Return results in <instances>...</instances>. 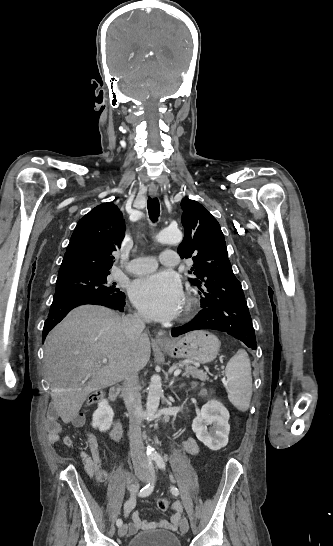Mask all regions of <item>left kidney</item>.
<instances>
[{
  "label": "left kidney",
  "instance_id": "obj_1",
  "mask_svg": "<svg viewBox=\"0 0 333 546\" xmlns=\"http://www.w3.org/2000/svg\"><path fill=\"white\" fill-rule=\"evenodd\" d=\"M229 418V412L221 402L210 400L194 418L192 429L205 446L217 451L228 444ZM212 424L213 427L208 431L207 426Z\"/></svg>",
  "mask_w": 333,
  "mask_h": 546
}]
</instances>
